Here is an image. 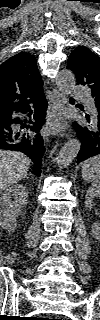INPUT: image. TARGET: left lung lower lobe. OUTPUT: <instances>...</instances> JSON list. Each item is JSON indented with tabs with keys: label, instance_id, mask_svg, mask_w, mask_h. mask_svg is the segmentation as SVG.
<instances>
[{
	"label": "left lung lower lobe",
	"instance_id": "obj_1",
	"mask_svg": "<svg viewBox=\"0 0 100 320\" xmlns=\"http://www.w3.org/2000/svg\"><path fill=\"white\" fill-rule=\"evenodd\" d=\"M86 119L88 123L85 126L73 124L81 141V148L77 156L78 163L89 157L100 155V111L94 114L93 119L86 114Z\"/></svg>",
	"mask_w": 100,
	"mask_h": 320
}]
</instances>
